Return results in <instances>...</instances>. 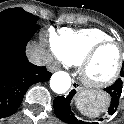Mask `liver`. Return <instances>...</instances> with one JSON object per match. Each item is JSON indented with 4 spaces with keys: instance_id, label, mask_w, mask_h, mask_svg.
Here are the masks:
<instances>
[{
    "instance_id": "liver-1",
    "label": "liver",
    "mask_w": 124,
    "mask_h": 124,
    "mask_svg": "<svg viewBox=\"0 0 124 124\" xmlns=\"http://www.w3.org/2000/svg\"><path fill=\"white\" fill-rule=\"evenodd\" d=\"M32 51H39V52L43 53V50L41 48H36L34 46H31L29 53Z\"/></svg>"
}]
</instances>
